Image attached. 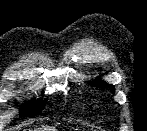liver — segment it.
I'll list each match as a JSON object with an SVG mask.
<instances>
[{
  "mask_svg": "<svg viewBox=\"0 0 147 131\" xmlns=\"http://www.w3.org/2000/svg\"><path fill=\"white\" fill-rule=\"evenodd\" d=\"M29 131H57V130L51 126H41L38 128L31 129Z\"/></svg>",
  "mask_w": 147,
  "mask_h": 131,
  "instance_id": "liver-1",
  "label": "liver"
}]
</instances>
